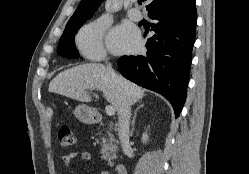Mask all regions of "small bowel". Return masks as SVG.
Here are the masks:
<instances>
[{"label":"small bowel","instance_id":"c3829d8e","mask_svg":"<svg viewBox=\"0 0 249 174\" xmlns=\"http://www.w3.org/2000/svg\"><path fill=\"white\" fill-rule=\"evenodd\" d=\"M79 156L83 161H91L92 160V155L89 153V152H71L69 154H65L63 157H62V162L64 164V166L66 168L70 167L71 163L73 162V160ZM100 174H109L107 171H102L100 172Z\"/></svg>","mask_w":249,"mask_h":174}]
</instances>
